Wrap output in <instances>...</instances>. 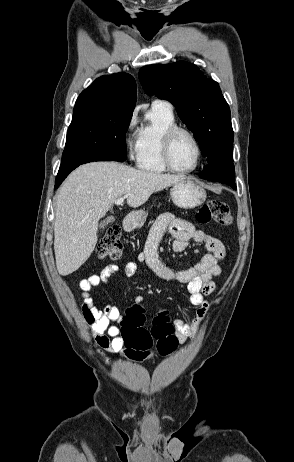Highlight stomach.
<instances>
[{"mask_svg":"<svg viewBox=\"0 0 294 462\" xmlns=\"http://www.w3.org/2000/svg\"><path fill=\"white\" fill-rule=\"evenodd\" d=\"M170 195L173 203L184 209H190L201 205L206 199V191L194 181L185 178L172 185ZM148 213L144 210L133 212V225L141 227L147 219Z\"/></svg>","mask_w":294,"mask_h":462,"instance_id":"obj_1","label":"stomach"}]
</instances>
